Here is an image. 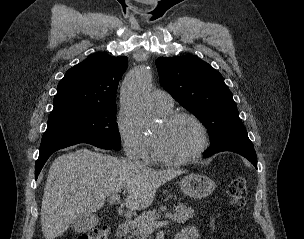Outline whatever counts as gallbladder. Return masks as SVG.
<instances>
[{"mask_svg":"<svg viewBox=\"0 0 304 239\" xmlns=\"http://www.w3.org/2000/svg\"><path fill=\"white\" fill-rule=\"evenodd\" d=\"M97 224V218L93 214H88L84 216H78L73 220L71 223V228L73 231L78 232V233H83Z\"/></svg>","mask_w":304,"mask_h":239,"instance_id":"obj_1","label":"gallbladder"}]
</instances>
